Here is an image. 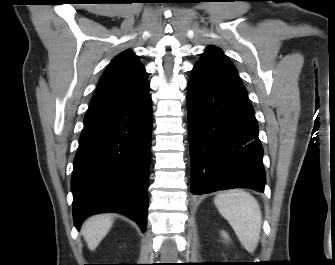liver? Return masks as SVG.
Listing matches in <instances>:
<instances>
[{
	"label": "liver",
	"instance_id": "6515ba94",
	"mask_svg": "<svg viewBox=\"0 0 335 265\" xmlns=\"http://www.w3.org/2000/svg\"><path fill=\"white\" fill-rule=\"evenodd\" d=\"M112 224L113 219L110 214L95 215L84 222L81 233L91 251L97 248L111 229Z\"/></svg>",
	"mask_w": 335,
	"mask_h": 265
}]
</instances>
